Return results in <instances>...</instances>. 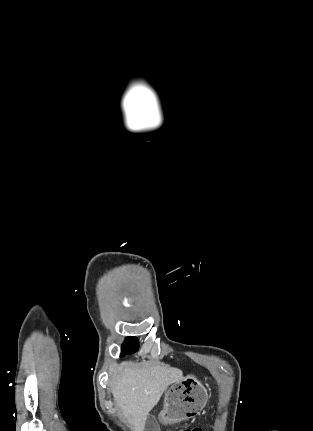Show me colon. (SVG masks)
<instances>
[{
  "mask_svg": "<svg viewBox=\"0 0 313 431\" xmlns=\"http://www.w3.org/2000/svg\"><path fill=\"white\" fill-rule=\"evenodd\" d=\"M184 431H204L202 428H192V429H186Z\"/></svg>",
  "mask_w": 313,
  "mask_h": 431,
  "instance_id": "obj_1",
  "label": "colon"
}]
</instances>
